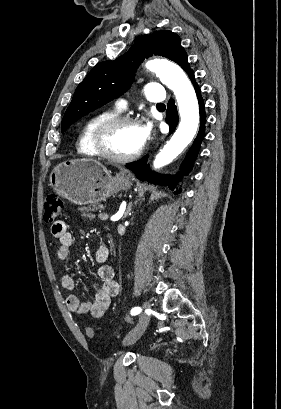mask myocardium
<instances>
[{"label":"myocardium","instance_id":"1","mask_svg":"<svg viewBox=\"0 0 281 409\" xmlns=\"http://www.w3.org/2000/svg\"><path fill=\"white\" fill-rule=\"evenodd\" d=\"M118 125H130V126H135L139 128V123L129 117V116H121V115H115L112 116L106 120H104L97 128L96 131V136H95V144L96 148L99 152V154L113 162L117 163H125V162H130L138 157H140L144 151V143L142 146L135 152L128 154V155H115L109 151L107 148L106 144V139L109 134V132L116 126Z\"/></svg>","mask_w":281,"mask_h":409}]
</instances>
